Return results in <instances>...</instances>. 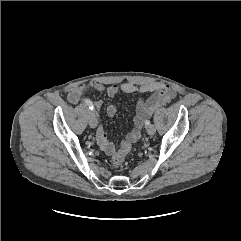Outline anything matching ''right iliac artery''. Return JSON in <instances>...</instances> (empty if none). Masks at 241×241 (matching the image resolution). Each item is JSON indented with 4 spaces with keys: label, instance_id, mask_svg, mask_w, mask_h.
<instances>
[{
    "label": "right iliac artery",
    "instance_id": "82829eb1",
    "mask_svg": "<svg viewBox=\"0 0 241 241\" xmlns=\"http://www.w3.org/2000/svg\"><path fill=\"white\" fill-rule=\"evenodd\" d=\"M85 103L89 107L90 110H94L93 103L89 99H85Z\"/></svg>",
    "mask_w": 241,
    "mask_h": 241
}]
</instances>
